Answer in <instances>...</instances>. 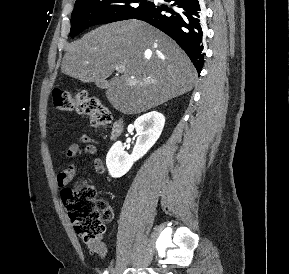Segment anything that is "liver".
Returning <instances> with one entry per match:
<instances>
[{
  "mask_svg": "<svg viewBox=\"0 0 289 274\" xmlns=\"http://www.w3.org/2000/svg\"><path fill=\"white\" fill-rule=\"evenodd\" d=\"M107 83L106 97L124 114H139L193 89L197 72L170 37L138 20L102 25L68 45L61 71L82 82Z\"/></svg>",
  "mask_w": 289,
  "mask_h": 274,
  "instance_id": "6515ba94",
  "label": "liver"
}]
</instances>
